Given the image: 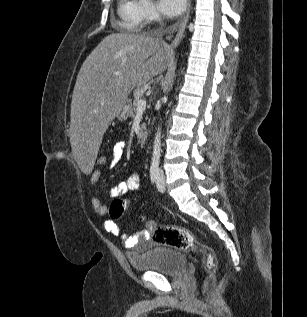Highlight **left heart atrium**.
I'll return each instance as SVG.
<instances>
[{"label": "left heart atrium", "instance_id": "39dd6f15", "mask_svg": "<svg viewBox=\"0 0 307 317\" xmlns=\"http://www.w3.org/2000/svg\"><path fill=\"white\" fill-rule=\"evenodd\" d=\"M186 0H158V8L167 17L180 15L185 8Z\"/></svg>", "mask_w": 307, "mask_h": 317}]
</instances>
